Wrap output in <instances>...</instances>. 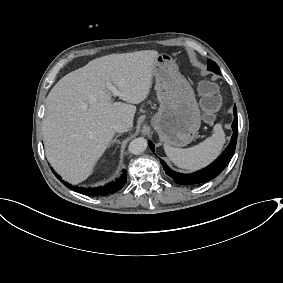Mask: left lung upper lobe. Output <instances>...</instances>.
Listing matches in <instances>:
<instances>
[{"label": "left lung upper lobe", "instance_id": "5c2ea615", "mask_svg": "<svg viewBox=\"0 0 283 283\" xmlns=\"http://www.w3.org/2000/svg\"><path fill=\"white\" fill-rule=\"evenodd\" d=\"M208 69L219 74L220 70L217 66V64L215 62H213L212 60H208Z\"/></svg>", "mask_w": 283, "mask_h": 283}]
</instances>
